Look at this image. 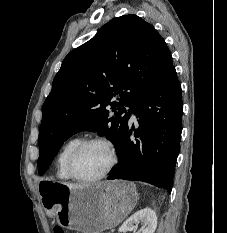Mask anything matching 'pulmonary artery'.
<instances>
[{
  "label": "pulmonary artery",
  "mask_w": 227,
  "mask_h": 233,
  "mask_svg": "<svg viewBox=\"0 0 227 233\" xmlns=\"http://www.w3.org/2000/svg\"><path fill=\"white\" fill-rule=\"evenodd\" d=\"M131 120H132V121H135V120H136V116H135V114H134L133 112L131 113Z\"/></svg>",
  "instance_id": "1"
}]
</instances>
